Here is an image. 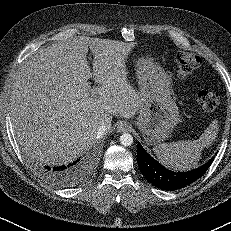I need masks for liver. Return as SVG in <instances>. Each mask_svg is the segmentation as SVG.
<instances>
[{
    "label": "liver",
    "instance_id": "1",
    "mask_svg": "<svg viewBox=\"0 0 231 231\" xmlns=\"http://www.w3.org/2000/svg\"><path fill=\"white\" fill-rule=\"evenodd\" d=\"M135 46L77 36L26 59L14 77L9 106L21 150L44 164L69 163L90 149L99 126L111 124L113 115L129 119L138 113V92L126 68ZM90 78L97 86H91Z\"/></svg>",
    "mask_w": 231,
    "mask_h": 231
}]
</instances>
